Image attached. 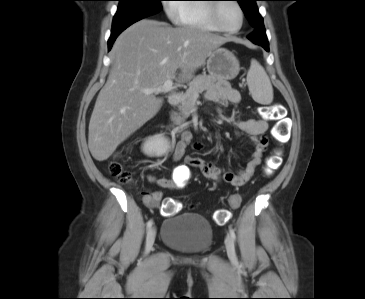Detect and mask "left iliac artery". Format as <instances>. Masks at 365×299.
Wrapping results in <instances>:
<instances>
[{"label":"left iliac artery","mask_w":365,"mask_h":299,"mask_svg":"<svg viewBox=\"0 0 365 299\" xmlns=\"http://www.w3.org/2000/svg\"><path fill=\"white\" fill-rule=\"evenodd\" d=\"M230 235H231L233 240H236V234H235L233 229H230Z\"/></svg>","instance_id":"obj_1"}]
</instances>
